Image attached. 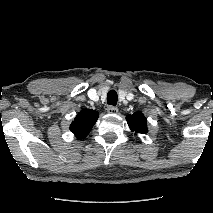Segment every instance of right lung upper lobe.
<instances>
[{"instance_id": "obj_1", "label": "right lung upper lobe", "mask_w": 213, "mask_h": 213, "mask_svg": "<svg viewBox=\"0 0 213 213\" xmlns=\"http://www.w3.org/2000/svg\"><path fill=\"white\" fill-rule=\"evenodd\" d=\"M98 119V112L92 109H83L75 117L70 130L78 139H83L90 132Z\"/></svg>"}]
</instances>
